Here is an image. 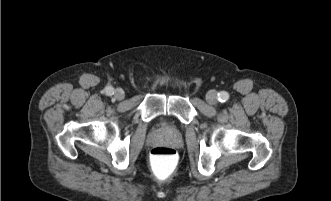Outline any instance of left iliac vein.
<instances>
[{"mask_svg": "<svg viewBox=\"0 0 331 201\" xmlns=\"http://www.w3.org/2000/svg\"><path fill=\"white\" fill-rule=\"evenodd\" d=\"M206 100L210 105H215L218 101L217 92L210 90L206 95Z\"/></svg>", "mask_w": 331, "mask_h": 201, "instance_id": "left-iliac-vein-1", "label": "left iliac vein"}]
</instances>
